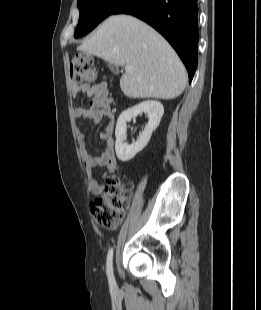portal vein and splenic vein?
<instances>
[{
    "instance_id": "obj_1",
    "label": "portal vein and splenic vein",
    "mask_w": 261,
    "mask_h": 310,
    "mask_svg": "<svg viewBox=\"0 0 261 310\" xmlns=\"http://www.w3.org/2000/svg\"><path fill=\"white\" fill-rule=\"evenodd\" d=\"M125 71H126V72L132 71V67H131L130 65H126V66H125Z\"/></svg>"
}]
</instances>
